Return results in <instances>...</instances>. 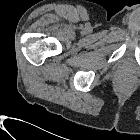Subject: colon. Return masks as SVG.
Masks as SVG:
<instances>
[{
	"label": "colon",
	"mask_w": 140,
	"mask_h": 140,
	"mask_svg": "<svg viewBox=\"0 0 140 140\" xmlns=\"http://www.w3.org/2000/svg\"><path fill=\"white\" fill-rule=\"evenodd\" d=\"M121 85H122V86H125V83H122Z\"/></svg>",
	"instance_id": "obj_1"
}]
</instances>
